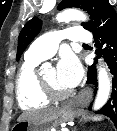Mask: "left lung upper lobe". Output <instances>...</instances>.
I'll return each instance as SVG.
<instances>
[{
	"label": "left lung upper lobe",
	"mask_w": 117,
	"mask_h": 131,
	"mask_svg": "<svg viewBox=\"0 0 117 131\" xmlns=\"http://www.w3.org/2000/svg\"><path fill=\"white\" fill-rule=\"evenodd\" d=\"M108 2V0H62L57 9L63 10L68 7H77L87 11L91 15L90 18L92 21L90 23H82V26L91 31ZM41 25V20L36 17L25 24L18 37L17 60H19L23 51L39 33Z\"/></svg>",
	"instance_id": "5c2ea615"
}]
</instances>
